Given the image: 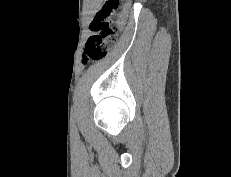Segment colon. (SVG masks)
<instances>
[{
	"mask_svg": "<svg viewBox=\"0 0 231 177\" xmlns=\"http://www.w3.org/2000/svg\"><path fill=\"white\" fill-rule=\"evenodd\" d=\"M120 0H105L90 23L92 35L88 38L83 53V63L103 59L114 46L117 39V27L114 18L118 13ZM123 19L120 17L119 21Z\"/></svg>",
	"mask_w": 231,
	"mask_h": 177,
	"instance_id": "colon-1",
	"label": "colon"
}]
</instances>
